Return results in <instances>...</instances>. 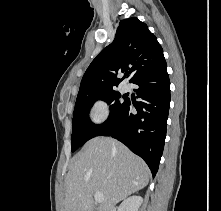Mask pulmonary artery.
Returning <instances> with one entry per match:
<instances>
[{"label": "pulmonary artery", "mask_w": 221, "mask_h": 211, "mask_svg": "<svg viewBox=\"0 0 221 211\" xmlns=\"http://www.w3.org/2000/svg\"><path fill=\"white\" fill-rule=\"evenodd\" d=\"M122 89H123L124 92H127V91H129L130 87H129L128 84H124V85L122 86Z\"/></svg>", "instance_id": "e3ab8cb5"}]
</instances>
